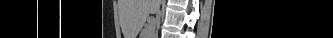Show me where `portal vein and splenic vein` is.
Instances as JSON below:
<instances>
[{
  "instance_id": "portal-vein-and-splenic-vein-1",
  "label": "portal vein and splenic vein",
  "mask_w": 333,
  "mask_h": 38,
  "mask_svg": "<svg viewBox=\"0 0 333 38\" xmlns=\"http://www.w3.org/2000/svg\"><path fill=\"white\" fill-rule=\"evenodd\" d=\"M150 24L153 25L154 24V20H151Z\"/></svg>"
}]
</instances>
